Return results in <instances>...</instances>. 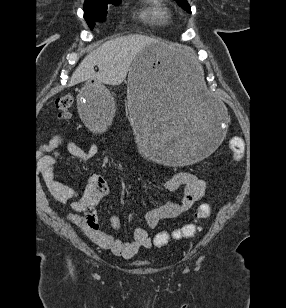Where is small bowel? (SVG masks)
I'll return each instance as SVG.
<instances>
[{
  "mask_svg": "<svg viewBox=\"0 0 286 308\" xmlns=\"http://www.w3.org/2000/svg\"><path fill=\"white\" fill-rule=\"evenodd\" d=\"M62 145H65L70 155L82 160L93 157L97 152L95 145L83 150L71 141L64 143L59 136L53 137L44 144L42 151L49 152ZM56 164L55 157L48 154L42 155L40 172L43 181L58 202L72 201L71 208L74 213L69 214L68 219L79 227L92 242L123 258H131L140 249L151 247V239L144 228L135 229L133 240L130 242H125L100 230L95 206L107 196L109 191L108 183L101 174L90 175L84 188L77 190L56 179L54 175ZM164 187L172 192L182 189L183 196L180 200L173 199L148 210L143 219L149 229L156 228L164 219L177 218L187 213L203 197L206 183L194 173L181 171L168 178ZM110 224L115 230L119 228L120 221L116 214L111 215Z\"/></svg>",
  "mask_w": 286,
  "mask_h": 308,
  "instance_id": "small-bowel-1",
  "label": "small bowel"
}]
</instances>
